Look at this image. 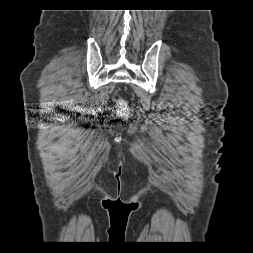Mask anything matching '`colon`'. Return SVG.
<instances>
[{
    "instance_id": "obj_1",
    "label": "colon",
    "mask_w": 253,
    "mask_h": 253,
    "mask_svg": "<svg viewBox=\"0 0 253 253\" xmlns=\"http://www.w3.org/2000/svg\"><path fill=\"white\" fill-rule=\"evenodd\" d=\"M116 104L118 115L120 117H127L130 113V109L127 102L122 98H118Z\"/></svg>"
}]
</instances>
